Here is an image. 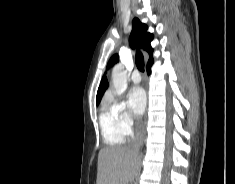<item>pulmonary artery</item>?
<instances>
[{
  "label": "pulmonary artery",
  "instance_id": "pulmonary-artery-1",
  "mask_svg": "<svg viewBox=\"0 0 235 184\" xmlns=\"http://www.w3.org/2000/svg\"><path fill=\"white\" fill-rule=\"evenodd\" d=\"M131 81H132L134 84H139V83L142 81V76H141V74H140L138 71H134V72L131 74Z\"/></svg>",
  "mask_w": 235,
  "mask_h": 184
}]
</instances>
